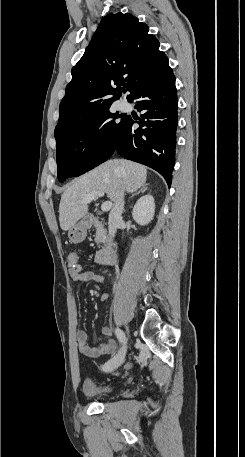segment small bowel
<instances>
[{
  "instance_id": "obj_1",
  "label": "small bowel",
  "mask_w": 245,
  "mask_h": 457,
  "mask_svg": "<svg viewBox=\"0 0 245 457\" xmlns=\"http://www.w3.org/2000/svg\"><path fill=\"white\" fill-rule=\"evenodd\" d=\"M69 275L70 277L79 282H101L103 280V276L100 273H96L93 271H83L81 268L79 269H72L70 268L69 270ZM110 293L105 292L101 295L100 299L101 301L105 302L109 299ZM103 334L105 336H111V331L109 328H104L103 329ZM76 342L79 351L91 358H97L102 355H107V354H112L115 352L117 348V344L115 340L113 339H108L104 342H102L99 346L97 347H91L88 345L87 342V334L83 330H78L76 333Z\"/></svg>"
}]
</instances>
